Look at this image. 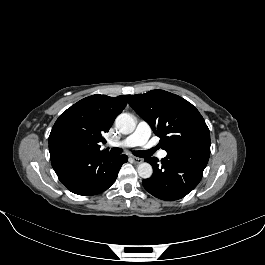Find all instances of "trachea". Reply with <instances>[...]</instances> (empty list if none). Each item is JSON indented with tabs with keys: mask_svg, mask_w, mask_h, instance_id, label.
I'll return each mask as SVG.
<instances>
[{
	"mask_svg": "<svg viewBox=\"0 0 265 265\" xmlns=\"http://www.w3.org/2000/svg\"><path fill=\"white\" fill-rule=\"evenodd\" d=\"M157 150V147H154L150 150H146V151H133V154L137 157H149L151 156L155 151ZM111 152L114 154H121L122 153V149L121 148H117V147H113L111 149Z\"/></svg>",
	"mask_w": 265,
	"mask_h": 265,
	"instance_id": "trachea-1",
	"label": "trachea"
}]
</instances>
